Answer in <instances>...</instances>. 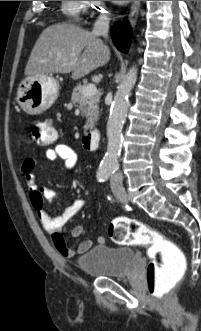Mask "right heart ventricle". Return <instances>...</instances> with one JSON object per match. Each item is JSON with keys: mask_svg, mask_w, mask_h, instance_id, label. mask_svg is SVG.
I'll use <instances>...</instances> for the list:
<instances>
[{"mask_svg": "<svg viewBox=\"0 0 201 331\" xmlns=\"http://www.w3.org/2000/svg\"><path fill=\"white\" fill-rule=\"evenodd\" d=\"M81 1H62V11L72 21L78 22L83 12Z\"/></svg>", "mask_w": 201, "mask_h": 331, "instance_id": "obj_1", "label": "right heart ventricle"}]
</instances>
